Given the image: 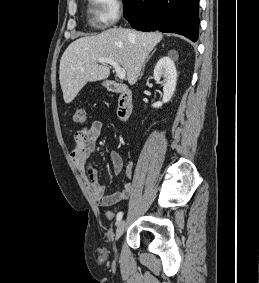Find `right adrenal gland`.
<instances>
[{"label":"right adrenal gland","instance_id":"obj_1","mask_svg":"<svg viewBox=\"0 0 259 283\" xmlns=\"http://www.w3.org/2000/svg\"><path fill=\"white\" fill-rule=\"evenodd\" d=\"M154 52H155V51H153V52L147 57L145 63L148 62V60L152 57V55L154 54ZM145 63H144V65H143V70H142V73H141V75H140V78H141L142 75H143V71H144V68H145Z\"/></svg>","mask_w":259,"mask_h":283}]
</instances>
